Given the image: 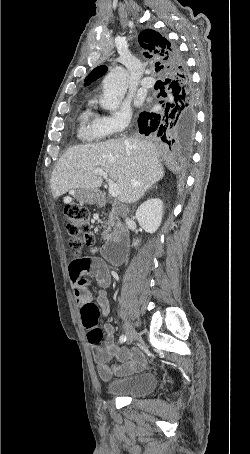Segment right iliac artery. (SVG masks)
<instances>
[{
  "instance_id": "obj_1",
  "label": "right iliac artery",
  "mask_w": 250,
  "mask_h": 454,
  "mask_svg": "<svg viewBox=\"0 0 250 454\" xmlns=\"http://www.w3.org/2000/svg\"><path fill=\"white\" fill-rule=\"evenodd\" d=\"M126 341V336L124 334H122L119 338V342L122 344Z\"/></svg>"
}]
</instances>
